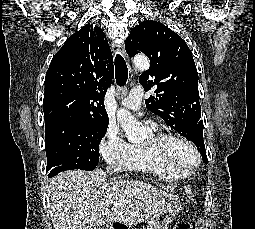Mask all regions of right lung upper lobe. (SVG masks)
Here are the masks:
<instances>
[{
	"instance_id": "cb5924a9",
	"label": "right lung upper lobe",
	"mask_w": 255,
	"mask_h": 229,
	"mask_svg": "<svg viewBox=\"0 0 255 229\" xmlns=\"http://www.w3.org/2000/svg\"><path fill=\"white\" fill-rule=\"evenodd\" d=\"M114 78L113 57L102 29L86 24L53 56L45 77L44 119L108 121L104 96Z\"/></svg>"
}]
</instances>
